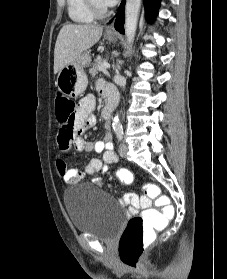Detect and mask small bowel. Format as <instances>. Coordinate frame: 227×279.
<instances>
[{"instance_id":"obj_1","label":"small bowel","mask_w":227,"mask_h":279,"mask_svg":"<svg viewBox=\"0 0 227 279\" xmlns=\"http://www.w3.org/2000/svg\"><path fill=\"white\" fill-rule=\"evenodd\" d=\"M101 90L108 97V100H114L116 102L117 95L113 87L104 86ZM96 109V98L94 95H86L79 101L78 110L75 114V123L77 125V130L73 134L74 138H70L66 135L59 133V148L61 150H68L72 145L74 148L81 151H93L103 155L100 159H91L89 163L84 167V169H78L76 167L69 166L65 161L59 160L57 162L58 172L63 178L64 182L67 184H74L79 181L85 180L88 176L92 174H98L102 176L109 165L117 161L116 154L112 151V142L109 133H106L102 140L100 141H85L80 137H75V135L84 131L86 127H91L96 123V117L94 111ZM97 184L101 181L97 178L95 180ZM123 203L129 204V210L131 212H136L141 209H145L151 205L149 198L145 196L139 197L135 193H128Z\"/></svg>"}]
</instances>
